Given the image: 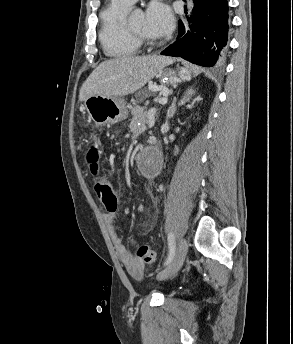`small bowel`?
<instances>
[{
    "instance_id": "obj_1",
    "label": "small bowel",
    "mask_w": 293,
    "mask_h": 344,
    "mask_svg": "<svg viewBox=\"0 0 293 344\" xmlns=\"http://www.w3.org/2000/svg\"><path fill=\"white\" fill-rule=\"evenodd\" d=\"M105 222L108 226L115 250L126 269L136 278H140L143 274V263L135 258L125 247L123 238L116 228V212L109 211L105 214ZM153 226V224H151Z\"/></svg>"
}]
</instances>
